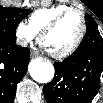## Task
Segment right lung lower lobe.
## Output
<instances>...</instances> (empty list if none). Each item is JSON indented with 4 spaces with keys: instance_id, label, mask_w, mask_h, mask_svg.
I'll list each match as a JSON object with an SVG mask.
<instances>
[{
    "instance_id": "98d812e1",
    "label": "right lung lower lobe",
    "mask_w": 103,
    "mask_h": 103,
    "mask_svg": "<svg viewBox=\"0 0 103 103\" xmlns=\"http://www.w3.org/2000/svg\"><path fill=\"white\" fill-rule=\"evenodd\" d=\"M15 42L0 38V103L13 102L16 85L25 76L29 63V49Z\"/></svg>"
}]
</instances>
